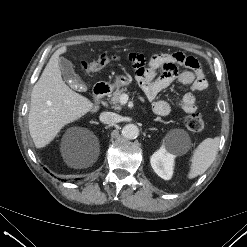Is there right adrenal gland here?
I'll return each instance as SVG.
<instances>
[{"label":"right adrenal gland","mask_w":247,"mask_h":247,"mask_svg":"<svg viewBox=\"0 0 247 247\" xmlns=\"http://www.w3.org/2000/svg\"><path fill=\"white\" fill-rule=\"evenodd\" d=\"M91 123H95V124H98V122H96V121H91Z\"/></svg>","instance_id":"1"}]
</instances>
